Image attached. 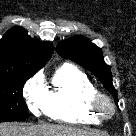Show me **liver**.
Here are the masks:
<instances>
[{
    "mask_svg": "<svg viewBox=\"0 0 136 136\" xmlns=\"http://www.w3.org/2000/svg\"><path fill=\"white\" fill-rule=\"evenodd\" d=\"M0 136H102L99 131L79 129L63 125H17L0 124Z\"/></svg>",
    "mask_w": 136,
    "mask_h": 136,
    "instance_id": "6515ba94",
    "label": "liver"
}]
</instances>
